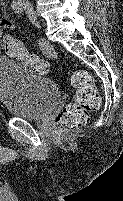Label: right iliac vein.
Here are the masks:
<instances>
[{
  "mask_svg": "<svg viewBox=\"0 0 123 201\" xmlns=\"http://www.w3.org/2000/svg\"><path fill=\"white\" fill-rule=\"evenodd\" d=\"M28 14H29L30 20H31L37 27H40L39 22H38V20H37V17H36V15H35V13H34L32 10H30V11L28 12Z\"/></svg>",
  "mask_w": 123,
  "mask_h": 201,
  "instance_id": "63e3f726",
  "label": "right iliac vein"
}]
</instances>
